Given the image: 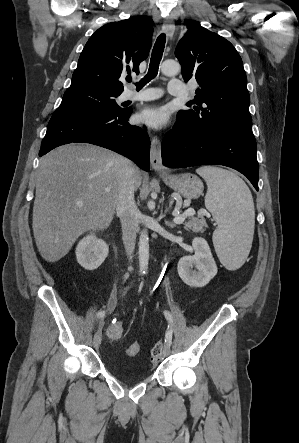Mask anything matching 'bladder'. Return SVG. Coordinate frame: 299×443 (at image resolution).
<instances>
[{"label":"bladder","mask_w":299,"mask_h":443,"mask_svg":"<svg viewBox=\"0 0 299 443\" xmlns=\"http://www.w3.org/2000/svg\"><path fill=\"white\" fill-rule=\"evenodd\" d=\"M109 371L118 379L127 384H135L146 380L149 376L148 372L141 368H131L121 370L113 365L109 366Z\"/></svg>","instance_id":"bladder-1"}]
</instances>
